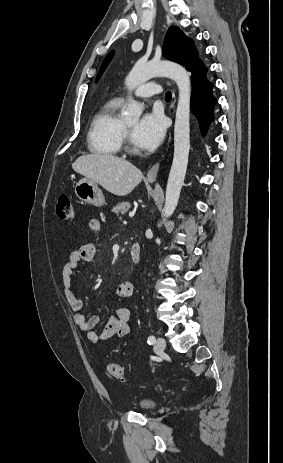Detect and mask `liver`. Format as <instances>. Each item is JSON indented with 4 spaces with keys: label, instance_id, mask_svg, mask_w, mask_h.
<instances>
[{
    "label": "liver",
    "instance_id": "obj_1",
    "mask_svg": "<svg viewBox=\"0 0 283 463\" xmlns=\"http://www.w3.org/2000/svg\"><path fill=\"white\" fill-rule=\"evenodd\" d=\"M72 168L117 196L129 194L143 179L140 169L129 161L110 154L82 155L72 164Z\"/></svg>",
    "mask_w": 283,
    "mask_h": 463
}]
</instances>
